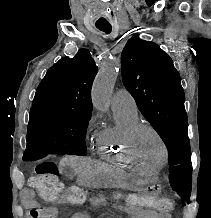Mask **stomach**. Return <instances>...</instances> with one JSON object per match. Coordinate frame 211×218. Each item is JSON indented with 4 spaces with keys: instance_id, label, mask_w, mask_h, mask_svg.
<instances>
[{
    "instance_id": "obj_1",
    "label": "stomach",
    "mask_w": 211,
    "mask_h": 218,
    "mask_svg": "<svg viewBox=\"0 0 211 218\" xmlns=\"http://www.w3.org/2000/svg\"><path fill=\"white\" fill-rule=\"evenodd\" d=\"M82 185L90 188L115 187L148 193L151 186L157 184V178H144L137 175L117 173V174H84L79 176Z\"/></svg>"
}]
</instances>
